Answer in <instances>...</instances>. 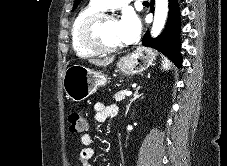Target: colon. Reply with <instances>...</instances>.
<instances>
[{
    "label": "colon",
    "instance_id": "colon-1",
    "mask_svg": "<svg viewBox=\"0 0 227 166\" xmlns=\"http://www.w3.org/2000/svg\"><path fill=\"white\" fill-rule=\"evenodd\" d=\"M68 122L71 133L84 132L88 127V120L82 110L72 111L68 116Z\"/></svg>",
    "mask_w": 227,
    "mask_h": 166
}]
</instances>
